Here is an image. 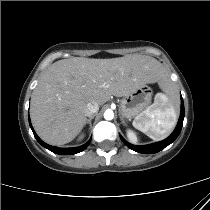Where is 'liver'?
<instances>
[{"mask_svg": "<svg viewBox=\"0 0 210 210\" xmlns=\"http://www.w3.org/2000/svg\"><path fill=\"white\" fill-rule=\"evenodd\" d=\"M165 69L146 55L112 59L73 57L50 65L41 76L31 99L32 125L50 145L72 141L87 121V104L106 103L136 89L158 82L165 90Z\"/></svg>", "mask_w": 210, "mask_h": 210, "instance_id": "1", "label": "liver"}]
</instances>
